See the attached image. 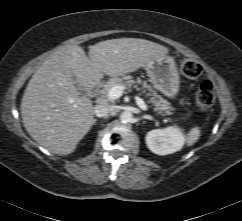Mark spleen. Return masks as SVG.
I'll list each match as a JSON object with an SVG mask.
<instances>
[{"label":"spleen","instance_id":"obj_1","mask_svg":"<svg viewBox=\"0 0 242 221\" xmlns=\"http://www.w3.org/2000/svg\"><path fill=\"white\" fill-rule=\"evenodd\" d=\"M200 137V129L199 127H194L191 129L188 138H187V144L189 146L193 145L195 142H197V140Z\"/></svg>","mask_w":242,"mask_h":221}]
</instances>
